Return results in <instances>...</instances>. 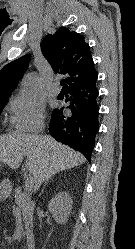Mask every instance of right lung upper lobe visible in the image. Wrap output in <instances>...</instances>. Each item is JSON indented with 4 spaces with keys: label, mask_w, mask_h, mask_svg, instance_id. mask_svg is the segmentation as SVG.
Masks as SVG:
<instances>
[{
    "label": "right lung upper lobe",
    "mask_w": 135,
    "mask_h": 249,
    "mask_svg": "<svg viewBox=\"0 0 135 249\" xmlns=\"http://www.w3.org/2000/svg\"><path fill=\"white\" fill-rule=\"evenodd\" d=\"M41 50L56 73L67 75L69 86L97 73L85 37L66 27L59 28L53 35L48 34L41 42ZM30 60L27 54L0 70V101L7 99L15 89Z\"/></svg>",
    "instance_id": "right-lung-upper-lobe-1"
}]
</instances>
